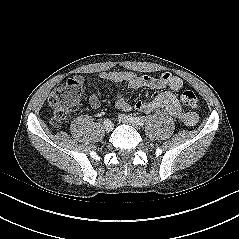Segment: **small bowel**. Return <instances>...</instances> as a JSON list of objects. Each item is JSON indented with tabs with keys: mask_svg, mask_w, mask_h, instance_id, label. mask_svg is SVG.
<instances>
[{
	"mask_svg": "<svg viewBox=\"0 0 239 239\" xmlns=\"http://www.w3.org/2000/svg\"><path fill=\"white\" fill-rule=\"evenodd\" d=\"M99 77L104 82H126L132 89H168L157 94L151 101L138 100L133 105L127 100L122 92L117 91L116 106L123 111H129L132 108L144 113L165 110L186 126H194L198 122V115L195 112L184 110L174 94V92L180 90L183 86V80L176 75L165 72L159 77H152L114 70L102 72ZM75 79L82 84L85 83V79L81 76H77ZM89 105L93 109L98 108L100 106L99 98L96 95L90 96Z\"/></svg>",
	"mask_w": 239,
	"mask_h": 239,
	"instance_id": "c3829d8e",
	"label": "small bowel"
}]
</instances>
